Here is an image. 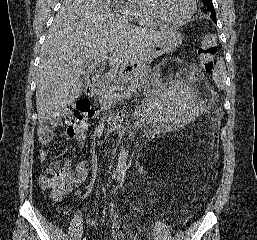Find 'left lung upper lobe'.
Segmentation results:
<instances>
[{
  "label": "left lung upper lobe",
  "mask_w": 257,
  "mask_h": 240,
  "mask_svg": "<svg viewBox=\"0 0 257 240\" xmlns=\"http://www.w3.org/2000/svg\"><path fill=\"white\" fill-rule=\"evenodd\" d=\"M202 2H203V5L205 7L204 12L206 14H209L210 17L212 18V20L214 22H216V13H215V10H214L212 0H202Z\"/></svg>",
  "instance_id": "5c2ea615"
}]
</instances>
